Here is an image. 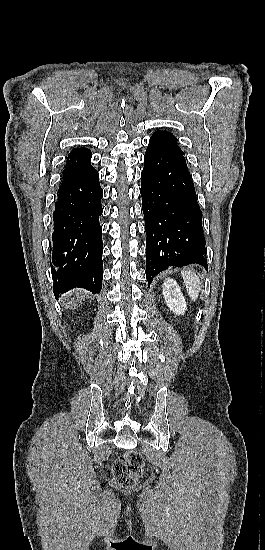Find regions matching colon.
<instances>
[{"label":"colon","instance_id":"5ec220e1","mask_svg":"<svg viewBox=\"0 0 265 550\" xmlns=\"http://www.w3.org/2000/svg\"><path fill=\"white\" fill-rule=\"evenodd\" d=\"M144 471V459L134 450L128 451L117 458L112 465L113 477L117 484L125 487L133 486Z\"/></svg>","mask_w":265,"mask_h":550}]
</instances>
